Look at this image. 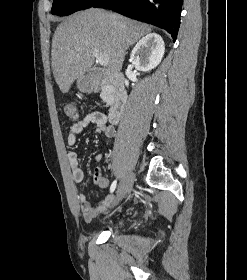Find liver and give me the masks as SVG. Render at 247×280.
Here are the masks:
<instances>
[{"label":"liver","instance_id":"1","mask_svg":"<svg viewBox=\"0 0 247 280\" xmlns=\"http://www.w3.org/2000/svg\"><path fill=\"white\" fill-rule=\"evenodd\" d=\"M151 28L122 15L90 8L60 23L52 39L53 75L62 93L93 65L92 50L109 57L108 72L122 69L125 51Z\"/></svg>","mask_w":247,"mask_h":280}]
</instances>
